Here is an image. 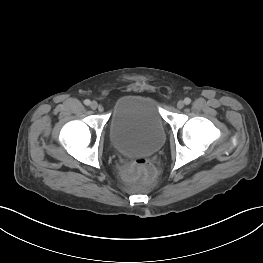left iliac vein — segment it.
Returning a JSON list of instances; mask_svg holds the SVG:
<instances>
[{"label":"left iliac vein","instance_id":"left-iliac-vein-1","mask_svg":"<svg viewBox=\"0 0 263 263\" xmlns=\"http://www.w3.org/2000/svg\"><path fill=\"white\" fill-rule=\"evenodd\" d=\"M184 105H185V103H184V101H182V100H180V101L177 102V108H178V109H182V108L184 107Z\"/></svg>","mask_w":263,"mask_h":263}]
</instances>
